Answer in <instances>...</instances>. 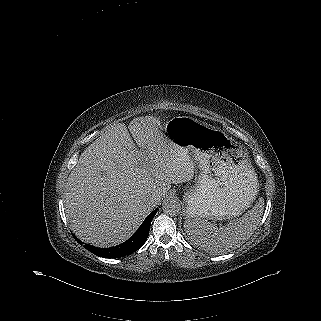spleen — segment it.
<instances>
[{
	"instance_id": "1",
	"label": "spleen",
	"mask_w": 321,
	"mask_h": 321,
	"mask_svg": "<svg viewBox=\"0 0 321 321\" xmlns=\"http://www.w3.org/2000/svg\"><path fill=\"white\" fill-rule=\"evenodd\" d=\"M264 211V199L260 197L255 206L242 217L227 225L216 227L205 219L187 218L184 229L191 241L203 250L223 254L244 244L255 232Z\"/></svg>"
}]
</instances>
